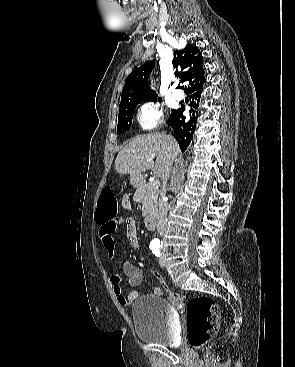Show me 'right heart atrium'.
I'll return each mask as SVG.
<instances>
[{"label":"right heart atrium","mask_w":295,"mask_h":367,"mask_svg":"<svg viewBox=\"0 0 295 367\" xmlns=\"http://www.w3.org/2000/svg\"><path fill=\"white\" fill-rule=\"evenodd\" d=\"M163 117L162 108L152 102L141 105L136 114L138 124L146 130L158 128L163 122Z\"/></svg>","instance_id":"1"}]
</instances>
